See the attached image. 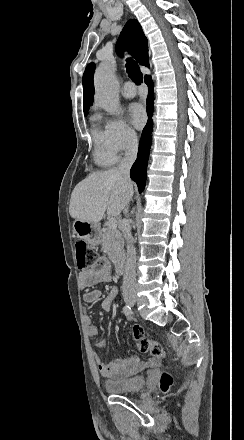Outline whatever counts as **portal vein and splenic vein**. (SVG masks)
Masks as SVG:
<instances>
[{"instance_id":"1","label":"portal vein and splenic vein","mask_w":244,"mask_h":440,"mask_svg":"<svg viewBox=\"0 0 244 440\" xmlns=\"http://www.w3.org/2000/svg\"><path fill=\"white\" fill-rule=\"evenodd\" d=\"M108 226H109V230H116L117 228L116 218H108Z\"/></svg>"}]
</instances>
